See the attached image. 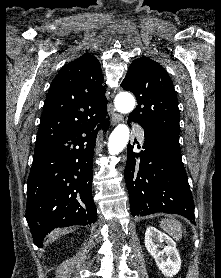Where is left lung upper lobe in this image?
Returning a JSON list of instances; mask_svg holds the SVG:
<instances>
[{
  "label": "left lung upper lobe",
  "mask_w": 221,
  "mask_h": 278,
  "mask_svg": "<svg viewBox=\"0 0 221 278\" xmlns=\"http://www.w3.org/2000/svg\"><path fill=\"white\" fill-rule=\"evenodd\" d=\"M121 87L131 91L137 107L129 118L150 133L180 131V113L173 83L166 70L150 58L135 59L129 66Z\"/></svg>",
  "instance_id": "left-lung-upper-lobe-1"
}]
</instances>
